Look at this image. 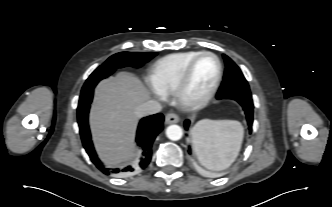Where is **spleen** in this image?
Returning a JSON list of instances; mask_svg holds the SVG:
<instances>
[{
  "label": "spleen",
  "instance_id": "obj_1",
  "mask_svg": "<svg viewBox=\"0 0 332 207\" xmlns=\"http://www.w3.org/2000/svg\"><path fill=\"white\" fill-rule=\"evenodd\" d=\"M243 126L235 120L198 122L191 130L193 148L207 169H227L237 158L243 141Z\"/></svg>",
  "mask_w": 332,
  "mask_h": 207
}]
</instances>
